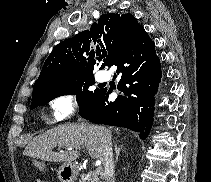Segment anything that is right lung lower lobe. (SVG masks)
<instances>
[{
  "instance_id": "right-lung-lower-lobe-1",
  "label": "right lung lower lobe",
  "mask_w": 211,
  "mask_h": 182,
  "mask_svg": "<svg viewBox=\"0 0 211 182\" xmlns=\"http://www.w3.org/2000/svg\"><path fill=\"white\" fill-rule=\"evenodd\" d=\"M117 66L119 96L108 101L109 91L99 89L79 108V115L97 123L128 128L145 139L154 120V95L161 81L155 43L143 33L118 48L108 67Z\"/></svg>"
}]
</instances>
